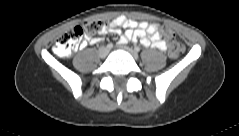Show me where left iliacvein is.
I'll return each instance as SVG.
<instances>
[{"label":"left iliac vein","mask_w":239,"mask_h":136,"mask_svg":"<svg viewBox=\"0 0 239 136\" xmlns=\"http://www.w3.org/2000/svg\"><path fill=\"white\" fill-rule=\"evenodd\" d=\"M119 48L124 49L125 51H127L129 54L132 55L133 58L137 59L138 58V54L131 48L126 47V46H119Z\"/></svg>","instance_id":"4c4485c4"}]
</instances>
